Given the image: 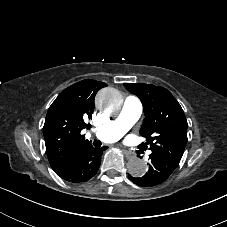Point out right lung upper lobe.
<instances>
[{"instance_id":"obj_1","label":"right lung upper lobe","mask_w":227,"mask_h":227,"mask_svg":"<svg viewBox=\"0 0 227 227\" xmlns=\"http://www.w3.org/2000/svg\"><path fill=\"white\" fill-rule=\"evenodd\" d=\"M107 84L91 79L75 83L61 92L48 109L43 127L46 152L52 169L61 171L75 153L91 145L81 134L89 129L97 91Z\"/></svg>"}]
</instances>
